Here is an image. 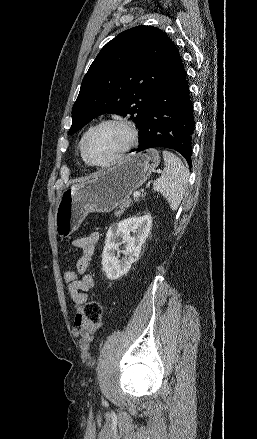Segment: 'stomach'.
Segmentation results:
<instances>
[{"mask_svg":"<svg viewBox=\"0 0 257 439\" xmlns=\"http://www.w3.org/2000/svg\"><path fill=\"white\" fill-rule=\"evenodd\" d=\"M159 162L156 149L132 153L115 166L65 189L56 204V234L68 237L89 213L114 210L150 177Z\"/></svg>","mask_w":257,"mask_h":439,"instance_id":"obj_1","label":"stomach"}]
</instances>
